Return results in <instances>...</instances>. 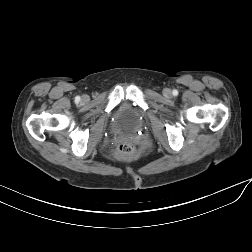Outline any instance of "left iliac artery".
<instances>
[{"instance_id":"obj_1","label":"left iliac artery","mask_w":252,"mask_h":252,"mask_svg":"<svg viewBox=\"0 0 252 252\" xmlns=\"http://www.w3.org/2000/svg\"><path fill=\"white\" fill-rule=\"evenodd\" d=\"M178 91L177 90H173V95H177Z\"/></svg>"}]
</instances>
